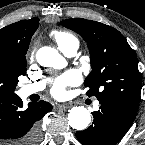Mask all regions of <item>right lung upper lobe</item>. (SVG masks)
Instances as JSON below:
<instances>
[{
  "label": "right lung upper lobe",
  "instance_id": "right-lung-upper-lobe-1",
  "mask_svg": "<svg viewBox=\"0 0 145 145\" xmlns=\"http://www.w3.org/2000/svg\"><path fill=\"white\" fill-rule=\"evenodd\" d=\"M39 19L22 20L0 30V56L26 54L31 37L39 26Z\"/></svg>",
  "mask_w": 145,
  "mask_h": 145
}]
</instances>
